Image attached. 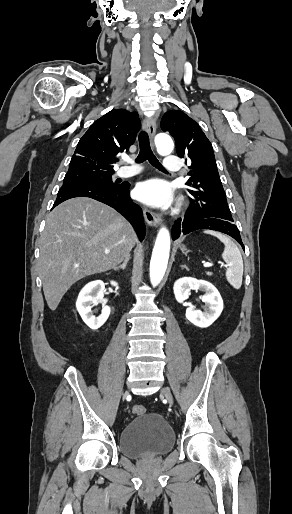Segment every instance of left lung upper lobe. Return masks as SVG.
Listing matches in <instances>:
<instances>
[{
	"mask_svg": "<svg viewBox=\"0 0 292 514\" xmlns=\"http://www.w3.org/2000/svg\"><path fill=\"white\" fill-rule=\"evenodd\" d=\"M161 129L171 133L177 155L190 165V178L186 182L190 199L199 202L205 213L231 214L213 147L200 126L184 112L171 110L163 115Z\"/></svg>",
	"mask_w": 292,
	"mask_h": 514,
	"instance_id": "5c2ea615",
	"label": "left lung upper lobe"
}]
</instances>
